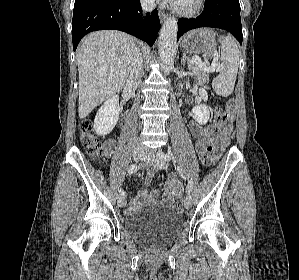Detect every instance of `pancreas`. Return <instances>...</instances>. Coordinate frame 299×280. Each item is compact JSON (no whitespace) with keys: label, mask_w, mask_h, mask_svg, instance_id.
<instances>
[{"label":"pancreas","mask_w":299,"mask_h":280,"mask_svg":"<svg viewBox=\"0 0 299 280\" xmlns=\"http://www.w3.org/2000/svg\"><path fill=\"white\" fill-rule=\"evenodd\" d=\"M189 67L195 74V77L199 81V84H205L209 82L208 73L204 72L196 63L191 62Z\"/></svg>","instance_id":"cf45deb5"}]
</instances>
